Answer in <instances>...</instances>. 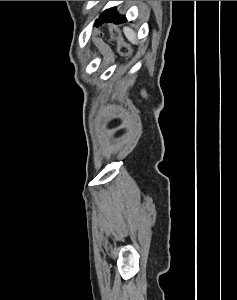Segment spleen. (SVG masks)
I'll return each mask as SVG.
<instances>
[{
  "label": "spleen",
  "instance_id": "3e777b00",
  "mask_svg": "<svg viewBox=\"0 0 237 300\" xmlns=\"http://www.w3.org/2000/svg\"><path fill=\"white\" fill-rule=\"evenodd\" d=\"M123 33L125 35V37H127L128 41H130V43H136V33H134V31H132V29H129V27H124L123 29Z\"/></svg>",
  "mask_w": 237,
  "mask_h": 300
}]
</instances>
